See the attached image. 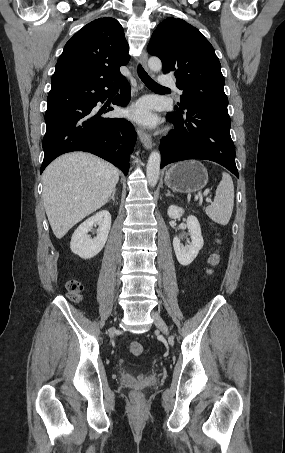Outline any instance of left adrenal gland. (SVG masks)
<instances>
[{
	"label": "left adrenal gland",
	"instance_id": "obj_1",
	"mask_svg": "<svg viewBox=\"0 0 285 453\" xmlns=\"http://www.w3.org/2000/svg\"><path fill=\"white\" fill-rule=\"evenodd\" d=\"M169 196H172V197H174V195H173V194H171L169 190H167V194H166V197H169Z\"/></svg>",
	"mask_w": 285,
	"mask_h": 453
}]
</instances>
